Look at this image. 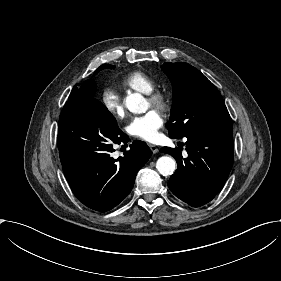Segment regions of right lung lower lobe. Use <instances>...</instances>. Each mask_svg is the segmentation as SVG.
Masks as SVG:
<instances>
[{"label": "right lung lower lobe", "mask_w": 281, "mask_h": 281, "mask_svg": "<svg viewBox=\"0 0 281 281\" xmlns=\"http://www.w3.org/2000/svg\"><path fill=\"white\" fill-rule=\"evenodd\" d=\"M94 91L93 80L73 87L60 115L57 144L74 195L87 207L106 212L131 192L138 170L152 152L144 142L135 140L123 157L112 158L113 145L125 144L129 138L93 97Z\"/></svg>", "instance_id": "98d812e1"}]
</instances>
